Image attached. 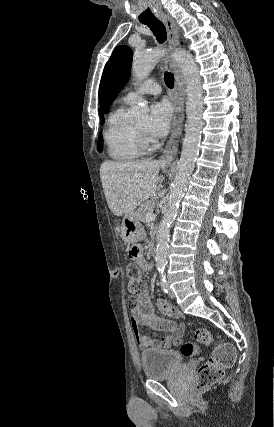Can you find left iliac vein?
Here are the masks:
<instances>
[{
  "label": "left iliac vein",
  "mask_w": 274,
  "mask_h": 427,
  "mask_svg": "<svg viewBox=\"0 0 274 427\" xmlns=\"http://www.w3.org/2000/svg\"><path fill=\"white\" fill-rule=\"evenodd\" d=\"M169 297L170 298H174L175 297V294H174V292H173V290L171 288L169 290Z\"/></svg>",
  "instance_id": "1"
}]
</instances>
